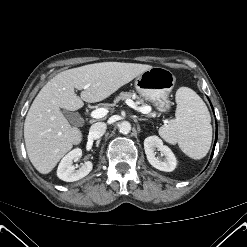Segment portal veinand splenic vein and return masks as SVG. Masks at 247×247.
Here are the masks:
<instances>
[{"mask_svg":"<svg viewBox=\"0 0 247 247\" xmlns=\"http://www.w3.org/2000/svg\"><path fill=\"white\" fill-rule=\"evenodd\" d=\"M125 103L129 107L133 108L134 110H137L138 112H141V113H144V114L148 113L147 107H138L131 99H126ZM107 113H108L107 109L98 108V109L93 110L91 112V117L95 118V119H99V118H102V117L106 116Z\"/></svg>","mask_w":247,"mask_h":247,"instance_id":"portal-vein-and-splenic-vein-1","label":"portal vein and splenic vein"}]
</instances>
